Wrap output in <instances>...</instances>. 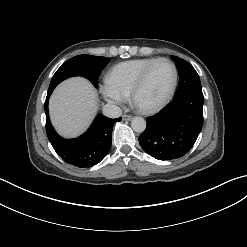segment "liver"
<instances>
[{"label": "liver", "mask_w": 247, "mask_h": 247, "mask_svg": "<svg viewBox=\"0 0 247 247\" xmlns=\"http://www.w3.org/2000/svg\"><path fill=\"white\" fill-rule=\"evenodd\" d=\"M97 109V93L81 77L59 84L49 102L51 121L64 137H75L86 130Z\"/></svg>", "instance_id": "obj_1"}]
</instances>
